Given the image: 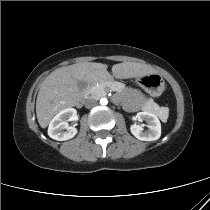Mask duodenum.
I'll use <instances>...</instances> for the list:
<instances>
[{"mask_svg": "<svg viewBox=\"0 0 210 210\" xmlns=\"http://www.w3.org/2000/svg\"><path fill=\"white\" fill-rule=\"evenodd\" d=\"M81 104H82V101L78 103V105H81Z\"/></svg>", "mask_w": 210, "mask_h": 210, "instance_id": "410a0bca", "label": "duodenum"}]
</instances>
